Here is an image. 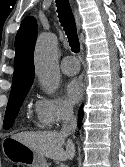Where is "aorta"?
Returning a JSON list of instances; mask_svg holds the SVG:
<instances>
[{
	"instance_id": "aorta-1",
	"label": "aorta",
	"mask_w": 125,
	"mask_h": 167,
	"mask_svg": "<svg viewBox=\"0 0 125 167\" xmlns=\"http://www.w3.org/2000/svg\"><path fill=\"white\" fill-rule=\"evenodd\" d=\"M34 64L43 90L47 94L53 95L60 83L57 37L54 34H42L39 36L35 46Z\"/></svg>"
}]
</instances>
